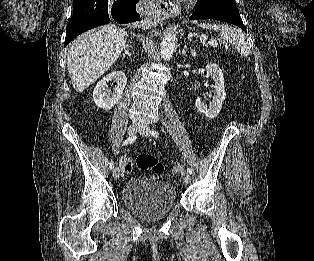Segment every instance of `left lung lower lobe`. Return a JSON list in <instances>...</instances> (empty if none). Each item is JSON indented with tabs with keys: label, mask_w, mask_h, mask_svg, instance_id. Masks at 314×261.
Wrapping results in <instances>:
<instances>
[{
	"label": "left lung lower lobe",
	"mask_w": 314,
	"mask_h": 261,
	"mask_svg": "<svg viewBox=\"0 0 314 261\" xmlns=\"http://www.w3.org/2000/svg\"><path fill=\"white\" fill-rule=\"evenodd\" d=\"M195 19H213L224 21L227 23L234 24L240 27L246 32L245 26L243 25L237 8L230 7H211V8H199L195 6V11L189 20Z\"/></svg>",
	"instance_id": "1"
}]
</instances>
